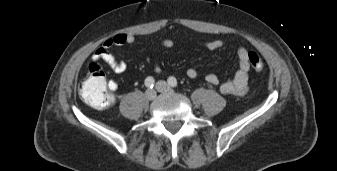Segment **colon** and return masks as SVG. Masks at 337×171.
<instances>
[{
    "instance_id": "1",
    "label": "colon",
    "mask_w": 337,
    "mask_h": 171,
    "mask_svg": "<svg viewBox=\"0 0 337 171\" xmlns=\"http://www.w3.org/2000/svg\"><path fill=\"white\" fill-rule=\"evenodd\" d=\"M249 63L252 69L259 72L263 69L262 59L255 52H250ZM81 99L95 109L108 108L113 103V94L109 90L105 75L97 63L88 67V76L79 88Z\"/></svg>"
}]
</instances>
